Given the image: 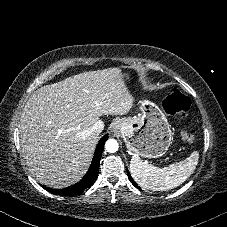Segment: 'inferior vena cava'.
<instances>
[{"label": "inferior vena cava", "mask_w": 227, "mask_h": 227, "mask_svg": "<svg viewBox=\"0 0 227 227\" xmlns=\"http://www.w3.org/2000/svg\"><path fill=\"white\" fill-rule=\"evenodd\" d=\"M104 129V122L101 120H98L94 125H93V131L96 133H101Z\"/></svg>", "instance_id": "602c4592"}]
</instances>
